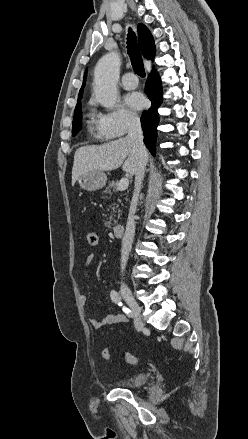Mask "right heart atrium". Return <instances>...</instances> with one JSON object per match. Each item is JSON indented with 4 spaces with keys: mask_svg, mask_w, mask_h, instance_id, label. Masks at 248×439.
<instances>
[{
    "mask_svg": "<svg viewBox=\"0 0 248 439\" xmlns=\"http://www.w3.org/2000/svg\"><path fill=\"white\" fill-rule=\"evenodd\" d=\"M95 117L97 134L106 139L122 137L139 124L137 114L121 105L98 112Z\"/></svg>",
    "mask_w": 248,
    "mask_h": 439,
    "instance_id": "right-heart-atrium-1",
    "label": "right heart atrium"
}]
</instances>
